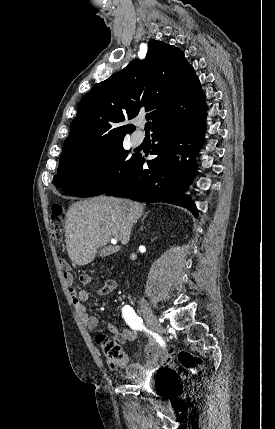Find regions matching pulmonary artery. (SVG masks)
I'll return each mask as SVG.
<instances>
[{
    "label": "pulmonary artery",
    "mask_w": 275,
    "mask_h": 429,
    "mask_svg": "<svg viewBox=\"0 0 275 429\" xmlns=\"http://www.w3.org/2000/svg\"><path fill=\"white\" fill-rule=\"evenodd\" d=\"M144 141V135L140 132H135L132 135V142L135 146H139L143 143Z\"/></svg>",
    "instance_id": "1"
}]
</instances>
